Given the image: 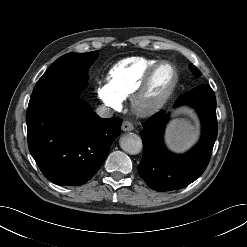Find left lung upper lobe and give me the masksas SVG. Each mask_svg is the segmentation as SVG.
<instances>
[{
  "mask_svg": "<svg viewBox=\"0 0 247 247\" xmlns=\"http://www.w3.org/2000/svg\"><path fill=\"white\" fill-rule=\"evenodd\" d=\"M190 67L194 74L198 76L201 75L200 71L194 65H191Z\"/></svg>",
  "mask_w": 247,
  "mask_h": 247,
  "instance_id": "5c2ea615",
  "label": "left lung upper lobe"
}]
</instances>
